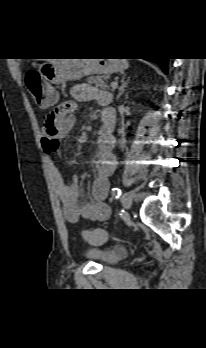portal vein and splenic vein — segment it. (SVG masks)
<instances>
[{
    "label": "portal vein and splenic vein",
    "mask_w": 206,
    "mask_h": 348,
    "mask_svg": "<svg viewBox=\"0 0 206 348\" xmlns=\"http://www.w3.org/2000/svg\"><path fill=\"white\" fill-rule=\"evenodd\" d=\"M117 86H118V83H117V82H112V83H111V87L116 88Z\"/></svg>",
    "instance_id": "obj_1"
}]
</instances>
